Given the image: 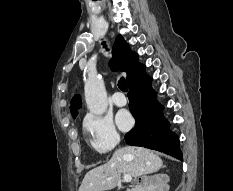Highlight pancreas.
<instances>
[{"label": "pancreas", "mask_w": 233, "mask_h": 191, "mask_svg": "<svg viewBox=\"0 0 233 191\" xmlns=\"http://www.w3.org/2000/svg\"><path fill=\"white\" fill-rule=\"evenodd\" d=\"M129 191H139V190L136 188H133V189H130Z\"/></svg>", "instance_id": "pancreas-1"}]
</instances>
